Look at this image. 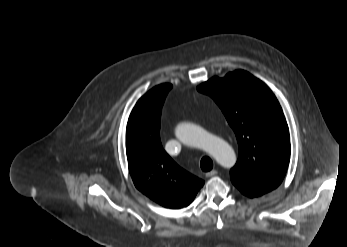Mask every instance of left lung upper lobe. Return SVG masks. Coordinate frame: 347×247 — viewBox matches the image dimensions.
<instances>
[{
	"label": "left lung upper lobe",
	"instance_id": "left-lung-upper-lobe-1",
	"mask_svg": "<svg viewBox=\"0 0 347 247\" xmlns=\"http://www.w3.org/2000/svg\"><path fill=\"white\" fill-rule=\"evenodd\" d=\"M197 89L214 99L235 132L239 157L230 170L232 183L264 191L277 188L287 171L291 145L272 91L243 70L213 77Z\"/></svg>",
	"mask_w": 347,
	"mask_h": 247
}]
</instances>
